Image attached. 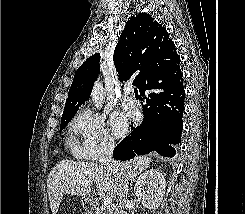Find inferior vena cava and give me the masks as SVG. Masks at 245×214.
I'll return each instance as SVG.
<instances>
[{
  "label": "inferior vena cava",
  "mask_w": 245,
  "mask_h": 214,
  "mask_svg": "<svg viewBox=\"0 0 245 214\" xmlns=\"http://www.w3.org/2000/svg\"><path fill=\"white\" fill-rule=\"evenodd\" d=\"M113 149H114V143L108 140L103 141L100 147L99 163L100 165L108 168L109 170H113L117 172L120 170V165L112 157ZM127 194H128V180L125 178L122 180L117 193V198H118L117 201L119 202L118 205L120 208H124L126 206Z\"/></svg>",
  "instance_id": "inferior-vena-cava-1"
}]
</instances>
